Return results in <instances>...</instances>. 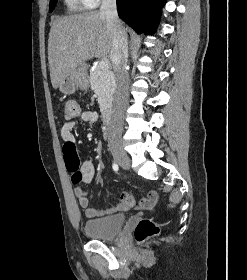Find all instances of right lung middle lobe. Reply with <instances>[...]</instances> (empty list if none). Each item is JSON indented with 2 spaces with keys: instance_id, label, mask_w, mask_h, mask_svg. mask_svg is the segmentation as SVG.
<instances>
[{
  "instance_id": "dd1d6c3e",
  "label": "right lung middle lobe",
  "mask_w": 247,
  "mask_h": 280,
  "mask_svg": "<svg viewBox=\"0 0 247 280\" xmlns=\"http://www.w3.org/2000/svg\"><path fill=\"white\" fill-rule=\"evenodd\" d=\"M57 0H51L50 2V12L53 10L54 8V4L56 3Z\"/></svg>"
}]
</instances>
